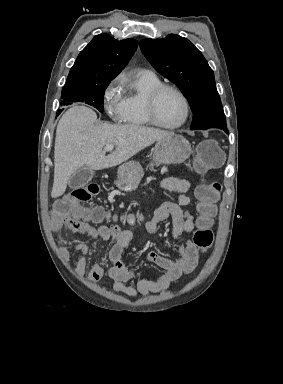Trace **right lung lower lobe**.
Masks as SVG:
<instances>
[{
    "instance_id": "1",
    "label": "right lung lower lobe",
    "mask_w": 283,
    "mask_h": 384,
    "mask_svg": "<svg viewBox=\"0 0 283 384\" xmlns=\"http://www.w3.org/2000/svg\"><path fill=\"white\" fill-rule=\"evenodd\" d=\"M60 113H61V111H58V112H57V115H59Z\"/></svg>"
}]
</instances>
